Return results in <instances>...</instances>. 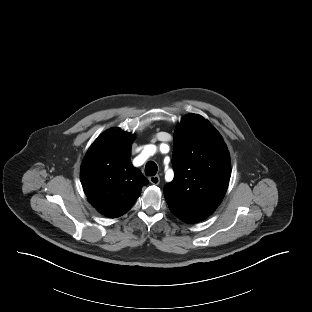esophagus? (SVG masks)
Here are the masks:
<instances>
[{"instance_id":"obj_1","label":"esophagus","mask_w":312,"mask_h":312,"mask_svg":"<svg viewBox=\"0 0 312 312\" xmlns=\"http://www.w3.org/2000/svg\"><path fill=\"white\" fill-rule=\"evenodd\" d=\"M149 181H150V183H152L154 185H158L160 183V178L158 175L150 176Z\"/></svg>"}]
</instances>
